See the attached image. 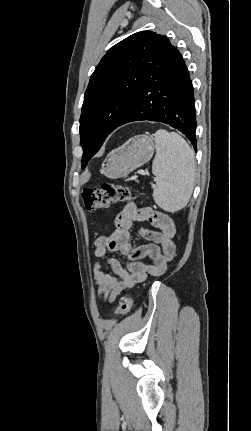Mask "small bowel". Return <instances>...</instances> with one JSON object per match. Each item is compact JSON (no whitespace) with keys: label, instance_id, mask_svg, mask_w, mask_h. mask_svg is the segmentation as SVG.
Returning <instances> with one entry per match:
<instances>
[{"label":"small bowel","instance_id":"obj_1","mask_svg":"<svg viewBox=\"0 0 251 431\" xmlns=\"http://www.w3.org/2000/svg\"><path fill=\"white\" fill-rule=\"evenodd\" d=\"M143 221L150 222L157 230L141 229L140 234L150 243L133 247L129 230L134 222ZM175 233L174 221L168 215L151 208H139L134 203L127 204L115 219V230L94 242L95 257L105 259L112 271L109 273L100 262L95 263L93 278L98 297L105 303H113L123 291L144 282L149 275L163 274L176 253ZM108 252L125 256L128 259L126 267L115 258L107 257ZM146 257L153 263H143L141 260Z\"/></svg>","mask_w":251,"mask_h":431}]
</instances>
